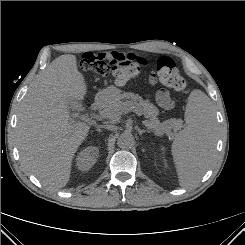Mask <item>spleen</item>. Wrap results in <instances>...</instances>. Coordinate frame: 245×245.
Segmentation results:
<instances>
[{"label":"spleen","mask_w":245,"mask_h":245,"mask_svg":"<svg viewBox=\"0 0 245 245\" xmlns=\"http://www.w3.org/2000/svg\"><path fill=\"white\" fill-rule=\"evenodd\" d=\"M186 125L172 144L181 187L196 184L209 168L216 145L215 115L209 97L193 90L185 110ZM162 150H164L162 148Z\"/></svg>","instance_id":"spleen-1"}]
</instances>
